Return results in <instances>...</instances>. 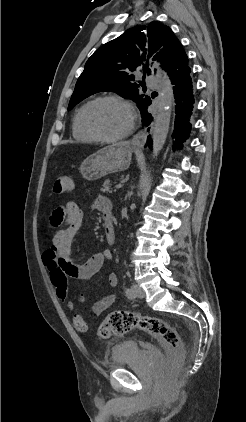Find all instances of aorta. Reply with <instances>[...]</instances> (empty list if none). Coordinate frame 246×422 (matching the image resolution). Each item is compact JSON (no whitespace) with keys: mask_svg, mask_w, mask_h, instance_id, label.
<instances>
[{"mask_svg":"<svg viewBox=\"0 0 246 422\" xmlns=\"http://www.w3.org/2000/svg\"><path fill=\"white\" fill-rule=\"evenodd\" d=\"M162 78L158 110L153 130V157H157L162 150L169 131L171 110L173 104V88L168 76L156 64Z\"/></svg>","mask_w":246,"mask_h":422,"instance_id":"1","label":"aorta"}]
</instances>
